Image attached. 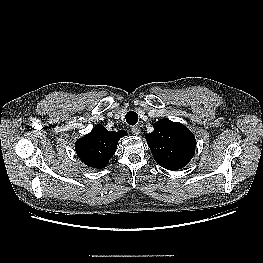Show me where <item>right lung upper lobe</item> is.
<instances>
[{
    "label": "right lung upper lobe",
    "mask_w": 263,
    "mask_h": 263,
    "mask_svg": "<svg viewBox=\"0 0 263 263\" xmlns=\"http://www.w3.org/2000/svg\"><path fill=\"white\" fill-rule=\"evenodd\" d=\"M124 131L109 132L102 125H97L76 146L81 160L92 168H103L116 151L118 140L126 135Z\"/></svg>",
    "instance_id": "obj_1"
}]
</instances>
